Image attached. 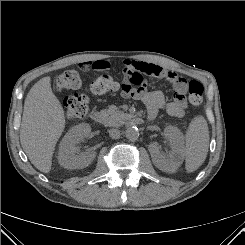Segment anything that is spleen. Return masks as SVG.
Returning <instances> with one entry per match:
<instances>
[{
	"instance_id": "1",
	"label": "spleen",
	"mask_w": 245,
	"mask_h": 245,
	"mask_svg": "<svg viewBox=\"0 0 245 245\" xmlns=\"http://www.w3.org/2000/svg\"><path fill=\"white\" fill-rule=\"evenodd\" d=\"M209 131L205 118L201 115L195 117L186 132V170L193 172L197 170L208 152Z\"/></svg>"
}]
</instances>
